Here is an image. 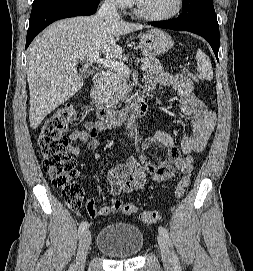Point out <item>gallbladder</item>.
<instances>
[{
    "label": "gallbladder",
    "instance_id": "obj_1",
    "mask_svg": "<svg viewBox=\"0 0 253 271\" xmlns=\"http://www.w3.org/2000/svg\"><path fill=\"white\" fill-rule=\"evenodd\" d=\"M80 75H81V77L83 79H86V78H88L91 75V71H89V70H83V71H81Z\"/></svg>",
    "mask_w": 253,
    "mask_h": 271
}]
</instances>
